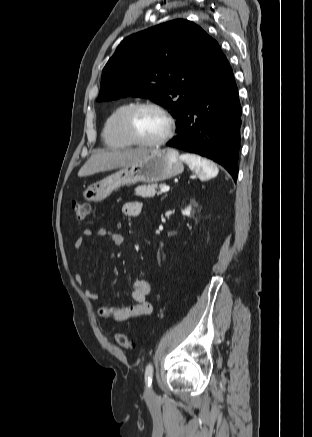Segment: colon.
Masks as SVG:
<instances>
[{
  "instance_id": "1",
  "label": "colon",
  "mask_w": 312,
  "mask_h": 437,
  "mask_svg": "<svg viewBox=\"0 0 312 437\" xmlns=\"http://www.w3.org/2000/svg\"><path fill=\"white\" fill-rule=\"evenodd\" d=\"M72 211L77 222H83L90 213V205L77 200L72 201ZM116 342L123 349H131L133 344L130 338L124 333L116 334Z\"/></svg>"
}]
</instances>
